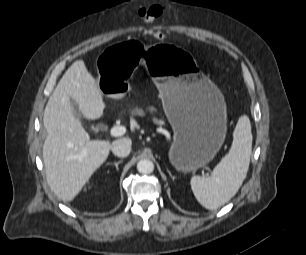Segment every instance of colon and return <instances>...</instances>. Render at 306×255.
Instances as JSON below:
<instances>
[{
  "label": "colon",
  "mask_w": 306,
  "mask_h": 255,
  "mask_svg": "<svg viewBox=\"0 0 306 255\" xmlns=\"http://www.w3.org/2000/svg\"><path fill=\"white\" fill-rule=\"evenodd\" d=\"M162 12L160 5H151L141 9L140 15L147 23H152L162 15ZM148 32L157 38L161 37V32L157 29L149 28Z\"/></svg>",
  "instance_id": "obj_1"
}]
</instances>
